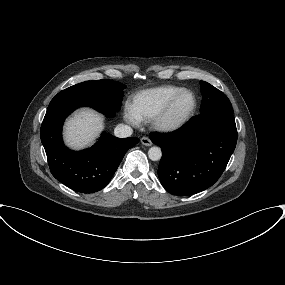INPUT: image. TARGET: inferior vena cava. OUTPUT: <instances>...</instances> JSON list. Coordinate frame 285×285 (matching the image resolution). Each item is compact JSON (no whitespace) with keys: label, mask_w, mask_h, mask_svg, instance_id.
<instances>
[{"label":"inferior vena cava","mask_w":285,"mask_h":285,"mask_svg":"<svg viewBox=\"0 0 285 285\" xmlns=\"http://www.w3.org/2000/svg\"><path fill=\"white\" fill-rule=\"evenodd\" d=\"M133 130L130 126L124 124H118L114 129V135L118 138L130 137Z\"/></svg>","instance_id":"inferior-vena-cava-1"}]
</instances>
